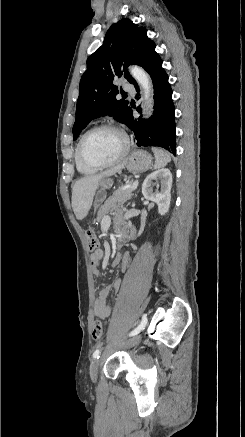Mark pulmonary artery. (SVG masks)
Returning <instances> with one entry per match:
<instances>
[{
	"label": "pulmonary artery",
	"mask_w": 245,
	"mask_h": 437,
	"mask_svg": "<svg viewBox=\"0 0 245 437\" xmlns=\"http://www.w3.org/2000/svg\"><path fill=\"white\" fill-rule=\"evenodd\" d=\"M123 89H124L125 91H127V92H130V93H133V92H134V87H133L131 84H129V83H125V84L123 85Z\"/></svg>",
	"instance_id": "obj_1"
}]
</instances>
